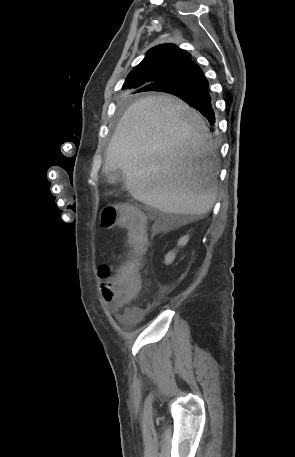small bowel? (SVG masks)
Instances as JSON below:
<instances>
[{"label": "small bowel", "mask_w": 295, "mask_h": 457, "mask_svg": "<svg viewBox=\"0 0 295 457\" xmlns=\"http://www.w3.org/2000/svg\"><path fill=\"white\" fill-rule=\"evenodd\" d=\"M144 314V311L140 310V309H129L127 311H125L124 315H123V319L126 321V322H133V321H136V320H139Z\"/></svg>", "instance_id": "small-bowel-1"}]
</instances>
